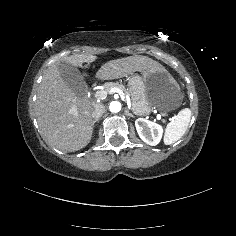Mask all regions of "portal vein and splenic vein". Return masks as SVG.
I'll return each mask as SVG.
<instances>
[{
    "label": "portal vein and splenic vein",
    "instance_id": "1",
    "mask_svg": "<svg viewBox=\"0 0 236 236\" xmlns=\"http://www.w3.org/2000/svg\"><path fill=\"white\" fill-rule=\"evenodd\" d=\"M115 91L118 92V94L120 95L121 101L122 102H126V98H125V94L123 93L122 90H120L119 88H111L109 90H105V89H101L99 91H96V97L100 100H104L107 98L108 93ZM72 113L75 117L78 116L77 114V110L75 107L72 108ZM157 118L160 119L161 118V114H157ZM71 126H67V128H69Z\"/></svg>",
    "mask_w": 236,
    "mask_h": 236
}]
</instances>
